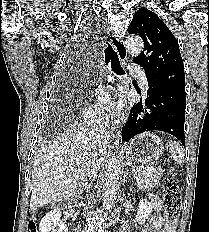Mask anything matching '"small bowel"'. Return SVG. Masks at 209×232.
Returning a JSON list of instances; mask_svg holds the SVG:
<instances>
[{
	"instance_id": "1",
	"label": "small bowel",
	"mask_w": 209,
	"mask_h": 232,
	"mask_svg": "<svg viewBox=\"0 0 209 232\" xmlns=\"http://www.w3.org/2000/svg\"><path fill=\"white\" fill-rule=\"evenodd\" d=\"M153 207L156 211L161 208L160 200L156 196L151 197ZM176 222L169 221L163 217H157L152 219L147 225L140 228L139 232H175ZM125 231H130L129 227L125 228Z\"/></svg>"
}]
</instances>
